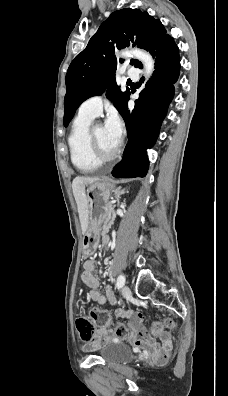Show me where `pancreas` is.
Here are the masks:
<instances>
[{"mask_svg":"<svg viewBox=\"0 0 228 396\" xmlns=\"http://www.w3.org/2000/svg\"><path fill=\"white\" fill-rule=\"evenodd\" d=\"M109 213H113L114 212V207L110 204V208L108 209ZM115 219L114 215H109L108 216V220L107 222L104 223L103 226V231H101V234L106 235L109 232L110 226L113 223V220Z\"/></svg>","mask_w":228,"mask_h":396,"instance_id":"1","label":"pancreas"}]
</instances>
